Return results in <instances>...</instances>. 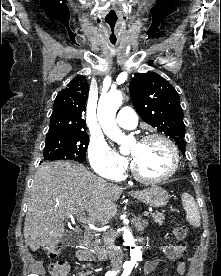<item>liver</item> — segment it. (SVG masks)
<instances>
[{"label": "liver", "instance_id": "liver-1", "mask_svg": "<svg viewBox=\"0 0 221 276\" xmlns=\"http://www.w3.org/2000/svg\"><path fill=\"white\" fill-rule=\"evenodd\" d=\"M123 187L107 183L84 165L48 162L36 171L24 223L25 244L50 250L65 235L64 221L88 213L93 222H108L116 212Z\"/></svg>", "mask_w": 221, "mask_h": 276}]
</instances>
